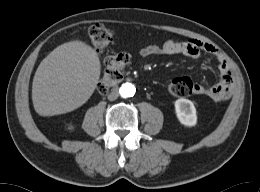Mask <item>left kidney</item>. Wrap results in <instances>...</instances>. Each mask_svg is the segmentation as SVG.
<instances>
[{
    "label": "left kidney",
    "mask_w": 260,
    "mask_h": 192,
    "mask_svg": "<svg viewBox=\"0 0 260 192\" xmlns=\"http://www.w3.org/2000/svg\"><path fill=\"white\" fill-rule=\"evenodd\" d=\"M175 113L181 124L189 127L196 125V108L192 101L184 98L176 100Z\"/></svg>",
    "instance_id": "5707ae66"
}]
</instances>
